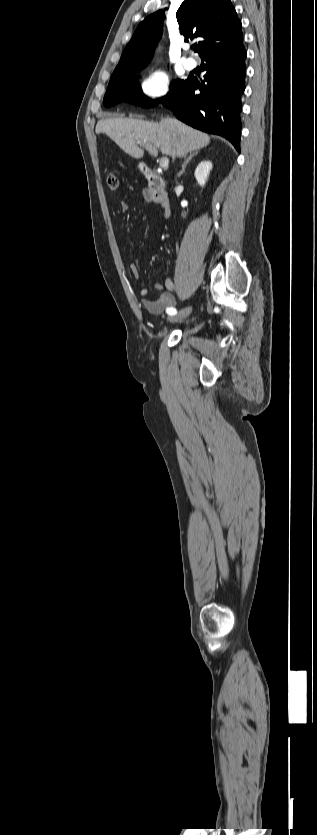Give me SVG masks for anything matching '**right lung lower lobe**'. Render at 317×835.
<instances>
[{"instance_id": "right-lung-lower-lobe-1", "label": "right lung lower lobe", "mask_w": 317, "mask_h": 835, "mask_svg": "<svg viewBox=\"0 0 317 835\" xmlns=\"http://www.w3.org/2000/svg\"><path fill=\"white\" fill-rule=\"evenodd\" d=\"M204 81L189 78L161 102L186 124L228 139L240 151L241 96L245 89L246 50L243 36L207 49ZM200 90L195 95V90Z\"/></svg>"}]
</instances>
